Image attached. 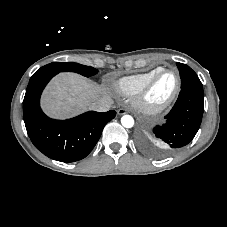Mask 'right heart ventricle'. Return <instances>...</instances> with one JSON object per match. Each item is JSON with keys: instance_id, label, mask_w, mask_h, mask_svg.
<instances>
[{"instance_id": "right-heart-ventricle-1", "label": "right heart ventricle", "mask_w": 227, "mask_h": 227, "mask_svg": "<svg viewBox=\"0 0 227 227\" xmlns=\"http://www.w3.org/2000/svg\"><path fill=\"white\" fill-rule=\"evenodd\" d=\"M160 69L161 67H156L147 72L122 77L113 83V87L118 93L125 96L137 94L143 85Z\"/></svg>"}]
</instances>
